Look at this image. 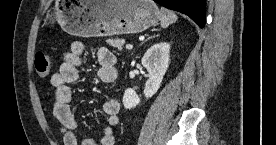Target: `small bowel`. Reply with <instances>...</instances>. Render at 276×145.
<instances>
[{"label":"small bowel","mask_w":276,"mask_h":145,"mask_svg":"<svg viewBox=\"0 0 276 145\" xmlns=\"http://www.w3.org/2000/svg\"><path fill=\"white\" fill-rule=\"evenodd\" d=\"M86 45L82 41L71 43L70 50L63 55V62L56 73L51 76L50 83L55 88L53 112L61 126L64 145H79L76 130L79 125L70 106L73 91L70 84L79 78V68L83 63ZM99 63L98 77L103 83H113L117 78L115 68L117 58L107 48L97 50ZM103 111L107 116V124L102 128L99 142L89 137L81 140L80 145H114L113 128L119 124V102L115 98H106L103 102Z\"/></svg>","instance_id":"small-bowel-1"}]
</instances>
